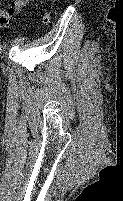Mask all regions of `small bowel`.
Here are the masks:
<instances>
[{
	"label": "small bowel",
	"mask_w": 123,
	"mask_h": 201,
	"mask_svg": "<svg viewBox=\"0 0 123 201\" xmlns=\"http://www.w3.org/2000/svg\"><path fill=\"white\" fill-rule=\"evenodd\" d=\"M31 0H12L7 9L0 10V27H6L12 18L19 15Z\"/></svg>",
	"instance_id": "obj_1"
}]
</instances>
